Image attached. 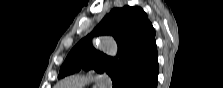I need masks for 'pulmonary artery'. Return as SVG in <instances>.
<instances>
[{
	"label": "pulmonary artery",
	"instance_id": "obj_1",
	"mask_svg": "<svg viewBox=\"0 0 223 88\" xmlns=\"http://www.w3.org/2000/svg\"><path fill=\"white\" fill-rule=\"evenodd\" d=\"M90 80H95L100 87L107 88L110 86V81L105 75H83V74H74L65 79H63L58 85L61 87H82Z\"/></svg>",
	"mask_w": 223,
	"mask_h": 88
}]
</instances>
